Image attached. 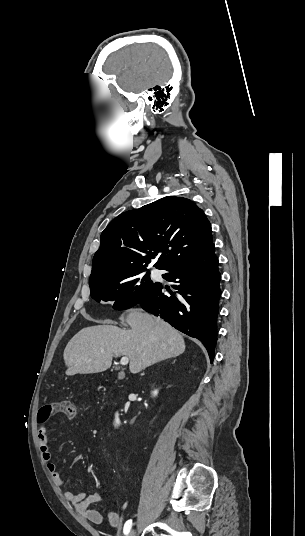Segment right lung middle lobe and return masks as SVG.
I'll return each mask as SVG.
<instances>
[{
	"label": "right lung middle lobe",
	"mask_w": 305,
	"mask_h": 536,
	"mask_svg": "<svg viewBox=\"0 0 305 536\" xmlns=\"http://www.w3.org/2000/svg\"><path fill=\"white\" fill-rule=\"evenodd\" d=\"M147 269H139L113 278L89 282L91 297L100 302L111 301L117 310L138 304L158 284L150 279Z\"/></svg>",
	"instance_id": "obj_1"
}]
</instances>
